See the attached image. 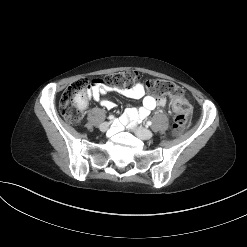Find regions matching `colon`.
Here are the masks:
<instances>
[{"instance_id":"obj_1","label":"colon","mask_w":247,"mask_h":247,"mask_svg":"<svg viewBox=\"0 0 247 247\" xmlns=\"http://www.w3.org/2000/svg\"><path fill=\"white\" fill-rule=\"evenodd\" d=\"M137 73L132 70L106 75L98 82L110 88H125L130 86L137 79ZM90 82L86 78L79 79L71 83L64 91L59 108L60 112L70 124H79L83 118V110L87 105L89 97ZM147 89L156 96H170L175 99L172 103L174 121L173 132L180 134L184 130L190 114L188 100L183 96V89L177 84L166 79H152L147 81Z\"/></svg>"}]
</instances>
